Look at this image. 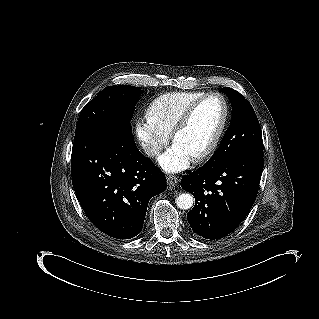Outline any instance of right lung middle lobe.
<instances>
[{
	"instance_id": "right-lung-middle-lobe-1",
	"label": "right lung middle lobe",
	"mask_w": 319,
	"mask_h": 319,
	"mask_svg": "<svg viewBox=\"0 0 319 319\" xmlns=\"http://www.w3.org/2000/svg\"><path fill=\"white\" fill-rule=\"evenodd\" d=\"M141 95L139 87L108 86L81 111L74 142L117 134L133 138L130 120Z\"/></svg>"
}]
</instances>
